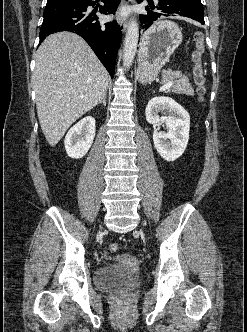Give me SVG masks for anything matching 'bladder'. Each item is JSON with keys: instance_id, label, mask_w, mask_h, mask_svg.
I'll return each instance as SVG.
<instances>
[{"instance_id": "1", "label": "bladder", "mask_w": 247, "mask_h": 332, "mask_svg": "<svg viewBox=\"0 0 247 332\" xmlns=\"http://www.w3.org/2000/svg\"><path fill=\"white\" fill-rule=\"evenodd\" d=\"M94 281L96 286L103 290L135 288L142 282L134 271V258L127 254L99 267L95 272Z\"/></svg>"}]
</instances>
